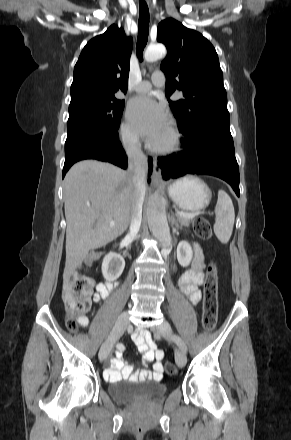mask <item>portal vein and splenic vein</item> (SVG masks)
<instances>
[{"label": "portal vein and splenic vein", "instance_id": "1", "mask_svg": "<svg viewBox=\"0 0 291 440\" xmlns=\"http://www.w3.org/2000/svg\"><path fill=\"white\" fill-rule=\"evenodd\" d=\"M176 215L180 216V217H185V218H189V219H193L195 217V214L193 213H185L182 211H176ZM115 223L112 221L110 222V226H114Z\"/></svg>", "mask_w": 291, "mask_h": 440}]
</instances>
